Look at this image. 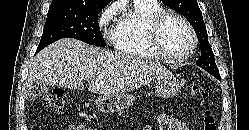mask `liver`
I'll return each instance as SVG.
<instances>
[{
	"label": "liver",
	"instance_id": "1",
	"mask_svg": "<svg viewBox=\"0 0 249 130\" xmlns=\"http://www.w3.org/2000/svg\"><path fill=\"white\" fill-rule=\"evenodd\" d=\"M171 72L153 60L89 46L76 39H62L39 52L32 61L27 88L37 81L47 85L83 90L94 94H122Z\"/></svg>",
	"mask_w": 249,
	"mask_h": 130
}]
</instances>
